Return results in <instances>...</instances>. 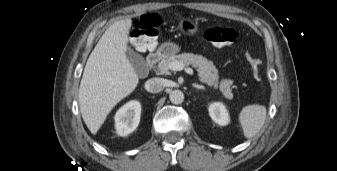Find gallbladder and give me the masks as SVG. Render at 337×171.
I'll use <instances>...</instances> for the list:
<instances>
[{"instance_id": "gallbladder-1", "label": "gallbladder", "mask_w": 337, "mask_h": 171, "mask_svg": "<svg viewBox=\"0 0 337 171\" xmlns=\"http://www.w3.org/2000/svg\"><path fill=\"white\" fill-rule=\"evenodd\" d=\"M128 59L131 62V64L133 65L135 71L140 74L143 70H145L146 67V63L144 58L139 55L138 53H135L132 50L128 51Z\"/></svg>"}]
</instances>
